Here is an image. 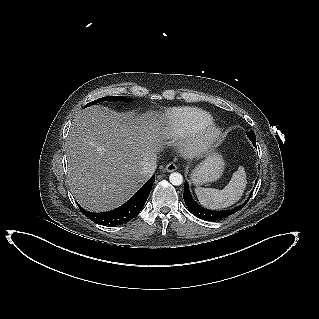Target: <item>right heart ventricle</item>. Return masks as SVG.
Wrapping results in <instances>:
<instances>
[{
  "label": "right heart ventricle",
  "instance_id": "e07e8e85",
  "mask_svg": "<svg viewBox=\"0 0 319 319\" xmlns=\"http://www.w3.org/2000/svg\"><path fill=\"white\" fill-rule=\"evenodd\" d=\"M212 121V115L200 108H171L165 111L163 115L161 131L166 137L182 138Z\"/></svg>",
  "mask_w": 319,
  "mask_h": 319
}]
</instances>
